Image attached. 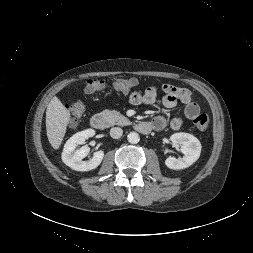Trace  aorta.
<instances>
[{
    "label": "aorta",
    "mask_w": 253,
    "mask_h": 253,
    "mask_svg": "<svg viewBox=\"0 0 253 253\" xmlns=\"http://www.w3.org/2000/svg\"><path fill=\"white\" fill-rule=\"evenodd\" d=\"M127 139H128V142H129V143L136 144V143L139 142L140 137H139V134H138V133H136V132H130V133L127 135Z\"/></svg>",
    "instance_id": "762f6f07"
}]
</instances>
